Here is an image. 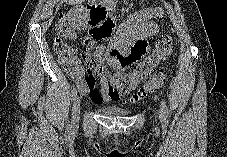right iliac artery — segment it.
<instances>
[{"label": "right iliac artery", "mask_w": 227, "mask_h": 157, "mask_svg": "<svg viewBox=\"0 0 227 157\" xmlns=\"http://www.w3.org/2000/svg\"><path fill=\"white\" fill-rule=\"evenodd\" d=\"M77 96V90H76V88L74 87L73 89H72V91H71V98H72V100H74V98Z\"/></svg>", "instance_id": "1"}]
</instances>
